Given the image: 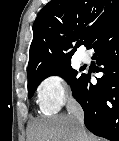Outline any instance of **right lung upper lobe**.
Returning <instances> with one entry per match:
<instances>
[{
	"mask_svg": "<svg viewBox=\"0 0 119 141\" xmlns=\"http://www.w3.org/2000/svg\"><path fill=\"white\" fill-rule=\"evenodd\" d=\"M117 18L119 0H51L33 25L28 75L68 64L79 39L90 48L102 28Z\"/></svg>",
	"mask_w": 119,
	"mask_h": 141,
	"instance_id": "right-lung-upper-lobe-1",
	"label": "right lung upper lobe"
}]
</instances>
